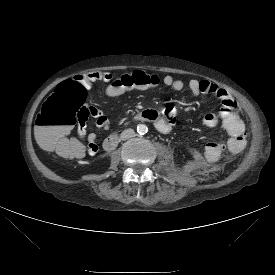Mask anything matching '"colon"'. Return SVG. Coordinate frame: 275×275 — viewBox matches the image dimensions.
<instances>
[{"instance_id": "obj_1", "label": "colon", "mask_w": 275, "mask_h": 275, "mask_svg": "<svg viewBox=\"0 0 275 275\" xmlns=\"http://www.w3.org/2000/svg\"><path fill=\"white\" fill-rule=\"evenodd\" d=\"M161 83L157 73L133 72L121 76L120 80L110 79L105 89L110 96L116 97L131 95L136 91H154ZM86 96L87 89L75 79L64 81L54 89L36 118V138L43 149L53 151L60 157L82 153L80 144L68 139L66 133L90 118L92 110L84 104ZM236 109L237 106L231 101L218 106L216 114L223 128L232 130L239 126L241 118Z\"/></svg>"}]
</instances>
